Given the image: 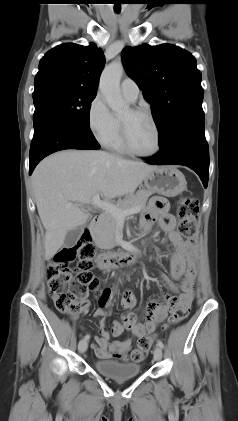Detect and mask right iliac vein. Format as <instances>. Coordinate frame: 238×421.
I'll return each mask as SVG.
<instances>
[{
  "label": "right iliac vein",
  "mask_w": 238,
  "mask_h": 421,
  "mask_svg": "<svg viewBox=\"0 0 238 421\" xmlns=\"http://www.w3.org/2000/svg\"><path fill=\"white\" fill-rule=\"evenodd\" d=\"M88 348V341L86 339H82L79 341L78 350L80 353H84Z\"/></svg>",
  "instance_id": "obj_1"
}]
</instances>
